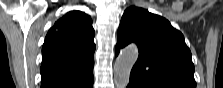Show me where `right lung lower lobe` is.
Segmentation results:
<instances>
[{"label":"right lung lower lobe","mask_w":223,"mask_h":88,"mask_svg":"<svg viewBox=\"0 0 223 88\" xmlns=\"http://www.w3.org/2000/svg\"><path fill=\"white\" fill-rule=\"evenodd\" d=\"M92 84H93V81L90 84L86 85L84 88H92Z\"/></svg>","instance_id":"obj_1"}]
</instances>
